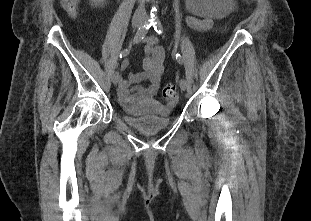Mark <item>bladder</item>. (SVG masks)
<instances>
[{"label": "bladder", "instance_id": "bladder-1", "mask_svg": "<svg viewBox=\"0 0 311 221\" xmlns=\"http://www.w3.org/2000/svg\"><path fill=\"white\" fill-rule=\"evenodd\" d=\"M123 122L143 135H155L168 129L173 123L171 108L154 99L148 106L138 108L133 104H121Z\"/></svg>", "mask_w": 311, "mask_h": 221}]
</instances>
